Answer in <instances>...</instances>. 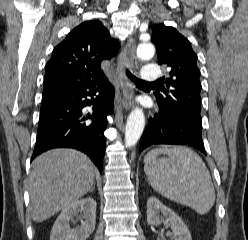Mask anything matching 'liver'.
<instances>
[{
	"instance_id": "liver-1",
	"label": "liver",
	"mask_w": 248,
	"mask_h": 240,
	"mask_svg": "<svg viewBox=\"0 0 248 240\" xmlns=\"http://www.w3.org/2000/svg\"><path fill=\"white\" fill-rule=\"evenodd\" d=\"M90 159L73 149H53L38 156L29 177L32 219L42 222L84 196L93 186Z\"/></svg>"
}]
</instances>
